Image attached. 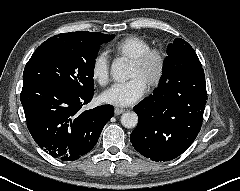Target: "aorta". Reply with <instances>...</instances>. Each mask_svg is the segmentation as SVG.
<instances>
[{"label":"aorta","instance_id":"762f6f07","mask_svg":"<svg viewBox=\"0 0 240 191\" xmlns=\"http://www.w3.org/2000/svg\"><path fill=\"white\" fill-rule=\"evenodd\" d=\"M130 75L128 62L123 59L115 60L111 65V76L117 82H125ZM138 116L135 112H126L121 116V124L125 128H134L137 126Z\"/></svg>","mask_w":240,"mask_h":191}]
</instances>
